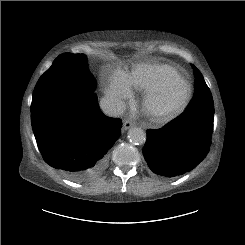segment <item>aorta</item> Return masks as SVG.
Segmentation results:
<instances>
[{
    "label": "aorta",
    "mask_w": 245,
    "mask_h": 245,
    "mask_svg": "<svg viewBox=\"0 0 245 245\" xmlns=\"http://www.w3.org/2000/svg\"><path fill=\"white\" fill-rule=\"evenodd\" d=\"M128 138L133 144H144L146 142V133L143 129L134 127L129 130Z\"/></svg>",
    "instance_id": "aorta-1"
}]
</instances>
